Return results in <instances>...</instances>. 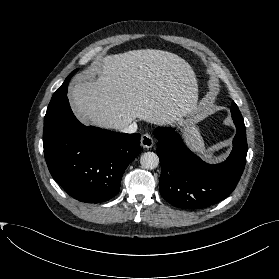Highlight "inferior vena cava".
Listing matches in <instances>:
<instances>
[{"mask_svg":"<svg viewBox=\"0 0 279 279\" xmlns=\"http://www.w3.org/2000/svg\"><path fill=\"white\" fill-rule=\"evenodd\" d=\"M136 130H137V124L135 122L120 129V131L123 133H135Z\"/></svg>","mask_w":279,"mask_h":279,"instance_id":"602c4592","label":"inferior vena cava"}]
</instances>
